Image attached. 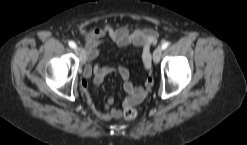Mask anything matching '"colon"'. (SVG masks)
Returning a JSON list of instances; mask_svg holds the SVG:
<instances>
[{
    "mask_svg": "<svg viewBox=\"0 0 247 145\" xmlns=\"http://www.w3.org/2000/svg\"><path fill=\"white\" fill-rule=\"evenodd\" d=\"M122 115L125 120H134L138 113L134 108L128 107L123 110Z\"/></svg>",
    "mask_w": 247,
    "mask_h": 145,
    "instance_id": "colon-1",
    "label": "colon"
}]
</instances>
